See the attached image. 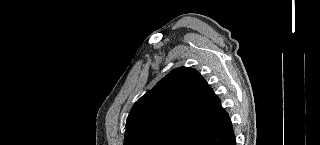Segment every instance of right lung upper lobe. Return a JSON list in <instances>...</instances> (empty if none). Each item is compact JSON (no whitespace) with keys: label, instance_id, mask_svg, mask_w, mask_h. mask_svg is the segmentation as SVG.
Masks as SVG:
<instances>
[{"label":"right lung upper lobe","instance_id":"obj_1","mask_svg":"<svg viewBox=\"0 0 320 145\" xmlns=\"http://www.w3.org/2000/svg\"><path fill=\"white\" fill-rule=\"evenodd\" d=\"M221 109L220 100L195 70L180 67L161 79L132 107L124 145L165 131L180 132L203 123Z\"/></svg>","mask_w":320,"mask_h":145}]
</instances>
